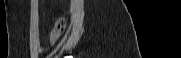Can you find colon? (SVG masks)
I'll use <instances>...</instances> for the list:
<instances>
[{
    "label": "colon",
    "instance_id": "5ec220e1",
    "mask_svg": "<svg viewBox=\"0 0 181 58\" xmlns=\"http://www.w3.org/2000/svg\"><path fill=\"white\" fill-rule=\"evenodd\" d=\"M64 28H65V24L63 21L60 20L56 22L53 33H52V37L54 40H56L60 36Z\"/></svg>",
    "mask_w": 181,
    "mask_h": 58
}]
</instances>
